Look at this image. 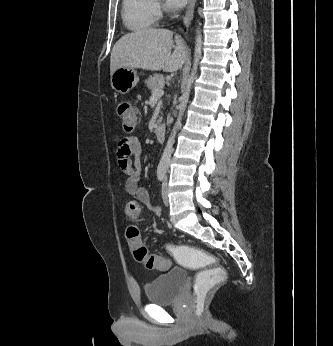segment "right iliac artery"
Returning a JSON list of instances; mask_svg holds the SVG:
<instances>
[{
	"label": "right iliac artery",
	"mask_w": 333,
	"mask_h": 346,
	"mask_svg": "<svg viewBox=\"0 0 333 346\" xmlns=\"http://www.w3.org/2000/svg\"><path fill=\"white\" fill-rule=\"evenodd\" d=\"M165 173H166V170L164 168H159L157 170V178L159 181H163V179L165 177Z\"/></svg>",
	"instance_id": "82829eb1"
}]
</instances>
